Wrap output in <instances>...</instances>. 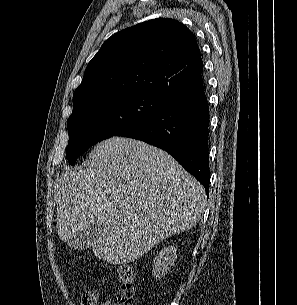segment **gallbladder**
<instances>
[{"label": "gallbladder", "mask_w": 297, "mask_h": 305, "mask_svg": "<svg viewBox=\"0 0 297 305\" xmlns=\"http://www.w3.org/2000/svg\"><path fill=\"white\" fill-rule=\"evenodd\" d=\"M100 237V229L97 225H91L67 240V245L74 250L89 248Z\"/></svg>", "instance_id": "bac80fb5"}]
</instances>
